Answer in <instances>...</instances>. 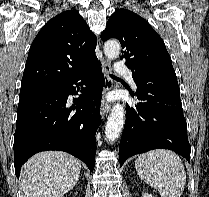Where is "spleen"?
I'll return each mask as SVG.
<instances>
[{"instance_id":"1","label":"spleen","mask_w":209,"mask_h":197,"mask_svg":"<svg viewBox=\"0 0 209 197\" xmlns=\"http://www.w3.org/2000/svg\"><path fill=\"white\" fill-rule=\"evenodd\" d=\"M139 177L158 190L161 197H180L186 184V172L180 157L171 150L156 149L135 160Z\"/></svg>"}]
</instances>
